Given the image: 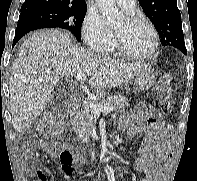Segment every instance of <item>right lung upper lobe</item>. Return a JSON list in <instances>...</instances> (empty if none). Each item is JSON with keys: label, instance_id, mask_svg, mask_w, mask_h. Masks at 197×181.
Returning a JSON list of instances; mask_svg holds the SVG:
<instances>
[{"label": "right lung upper lobe", "instance_id": "obj_1", "mask_svg": "<svg viewBox=\"0 0 197 181\" xmlns=\"http://www.w3.org/2000/svg\"><path fill=\"white\" fill-rule=\"evenodd\" d=\"M37 5H47L55 7L86 8L85 0H25L21 10Z\"/></svg>", "mask_w": 197, "mask_h": 181}]
</instances>
